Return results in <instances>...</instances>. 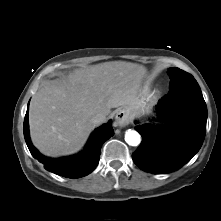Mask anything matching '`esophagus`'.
Returning <instances> with one entry per match:
<instances>
[{
  "label": "esophagus",
  "mask_w": 221,
  "mask_h": 221,
  "mask_svg": "<svg viewBox=\"0 0 221 221\" xmlns=\"http://www.w3.org/2000/svg\"><path fill=\"white\" fill-rule=\"evenodd\" d=\"M130 121L129 113L125 110H120L115 116L116 125L120 128L127 126Z\"/></svg>",
  "instance_id": "34e87169"
}]
</instances>
